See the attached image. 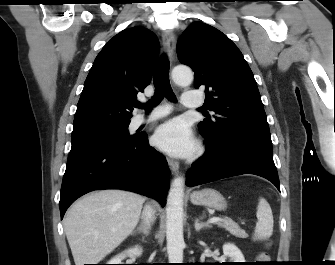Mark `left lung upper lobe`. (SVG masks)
Wrapping results in <instances>:
<instances>
[{"mask_svg": "<svg viewBox=\"0 0 335 265\" xmlns=\"http://www.w3.org/2000/svg\"><path fill=\"white\" fill-rule=\"evenodd\" d=\"M181 63L195 72V88H205V107L216 113L198 124L208 138L246 136L272 143L253 73L237 46L218 29L190 24L177 44Z\"/></svg>", "mask_w": 335, "mask_h": 265, "instance_id": "5c2ea615", "label": "left lung upper lobe"}]
</instances>
